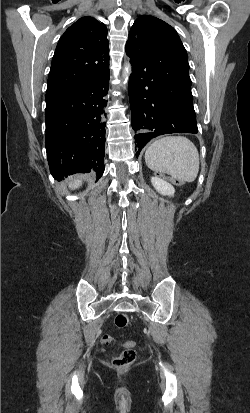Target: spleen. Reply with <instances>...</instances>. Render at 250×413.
Returning a JSON list of instances; mask_svg holds the SVG:
<instances>
[{
	"instance_id": "3e777b00",
	"label": "spleen",
	"mask_w": 250,
	"mask_h": 413,
	"mask_svg": "<svg viewBox=\"0 0 250 413\" xmlns=\"http://www.w3.org/2000/svg\"><path fill=\"white\" fill-rule=\"evenodd\" d=\"M148 168L166 173L179 182H193L199 171L196 146L184 136H166L153 142L145 152Z\"/></svg>"
}]
</instances>
